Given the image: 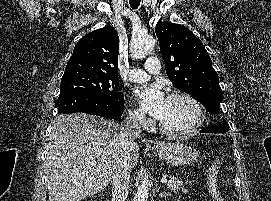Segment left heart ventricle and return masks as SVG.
I'll use <instances>...</instances> for the list:
<instances>
[{
	"mask_svg": "<svg viewBox=\"0 0 271 201\" xmlns=\"http://www.w3.org/2000/svg\"><path fill=\"white\" fill-rule=\"evenodd\" d=\"M196 120L194 108L182 99H168L166 112L160 122L172 130L189 127Z\"/></svg>",
	"mask_w": 271,
	"mask_h": 201,
	"instance_id": "1",
	"label": "left heart ventricle"
}]
</instances>
